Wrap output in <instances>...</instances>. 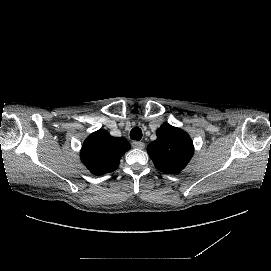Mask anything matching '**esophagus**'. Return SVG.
<instances>
[{"label": "esophagus", "instance_id": "esophagus-1", "mask_svg": "<svg viewBox=\"0 0 271 271\" xmlns=\"http://www.w3.org/2000/svg\"><path fill=\"white\" fill-rule=\"evenodd\" d=\"M131 145L133 148H137V149H144L145 147V143L141 141H133Z\"/></svg>", "mask_w": 271, "mask_h": 271}]
</instances>
